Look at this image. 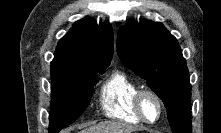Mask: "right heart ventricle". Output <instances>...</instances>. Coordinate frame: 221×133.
Listing matches in <instances>:
<instances>
[{
    "instance_id": "obj_1",
    "label": "right heart ventricle",
    "mask_w": 221,
    "mask_h": 133,
    "mask_svg": "<svg viewBox=\"0 0 221 133\" xmlns=\"http://www.w3.org/2000/svg\"><path fill=\"white\" fill-rule=\"evenodd\" d=\"M140 85L123 71L113 72L100 89L99 103L105 116L122 122H141L134 110V97Z\"/></svg>"
}]
</instances>
